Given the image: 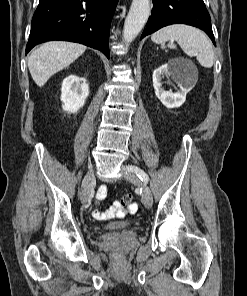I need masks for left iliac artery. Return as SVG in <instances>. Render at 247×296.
Segmentation results:
<instances>
[{
	"label": "left iliac artery",
	"mask_w": 247,
	"mask_h": 296,
	"mask_svg": "<svg viewBox=\"0 0 247 296\" xmlns=\"http://www.w3.org/2000/svg\"><path fill=\"white\" fill-rule=\"evenodd\" d=\"M128 169L136 173V175L141 179V181L147 183L149 181L148 175L136 166H128Z\"/></svg>",
	"instance_id": "1"
}]
</instances>
